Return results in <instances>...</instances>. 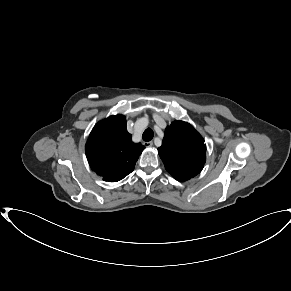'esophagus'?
<instances>
[{"mask_svg": "<svg viewBox=\"0 0 291 291\" xmlns=\"http://www.w3.org/2000/svg\"><path fill=\"white\" fill-rule=\"evenodd\" d=\"M143 145L145 147H151L153 145V142L152 141H148V142H143Z\"/></svg>", "mask_w": 291, "mask_h": 291, "instance_id": "obj_1", "label": "esophagus"}]
</instances>
